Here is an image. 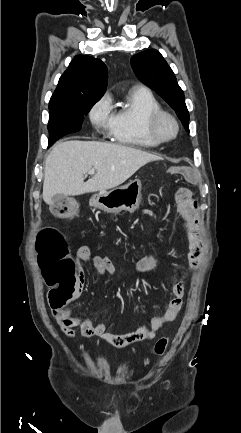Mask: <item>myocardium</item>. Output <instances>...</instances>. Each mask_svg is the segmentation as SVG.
<instances>
[{"label": "myocardium", "mask_w": 241, "mask_h": 433, "mask_svg": "<svg viewBox=\"0 0 241 433\" xmlns=\"http://www.w3.org/2000/svg\"><path fill=\"white\" fill-rule=\"evenodd\" d=\"M164 120H169L174 126V133L171 137H164L160 132V125ZM146 127L149 136L159 144L168 143L175 140L180 130L179 122L176 117L162 109L152 113L149 116Z\"/></svg>", "instance_id": "obj_1"}]
</instances>
